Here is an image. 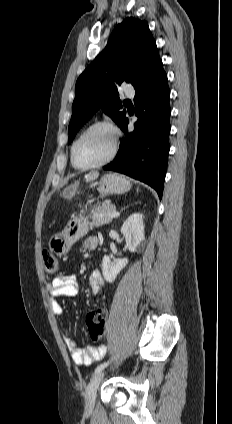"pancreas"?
<instances>
[{
  "label": "pancreas",
  "instance_id": "1",
  "mask_svg": "<svg viewBox=\"0 0 232 424\" xmlns=\"http://www.w3.org/2000/svg\"><path fill=\"white\" fill-rule=\"evenodd\" d=\"M116 210V207L111 204H103L101 207H98L92 213V222L91 225L94 227H99L104 224H109L113 218L110 217V214Z\"/></svg>",
  "mask_w": 232,
  "mask_h": 424
}]
</instances>
